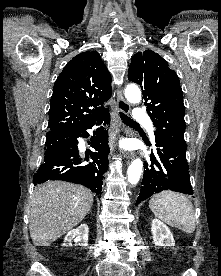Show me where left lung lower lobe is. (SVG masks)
Wrapping results in <instances>:
<instances>
[{
    "label": "left lung lower lobe",
    "mask_w": 221,
    "mask_h": 276,
    "mask_svg": "<svg viewBox=\"0 0 221 276\" xmlns=\"http://www.w3.org/2000/svg\"><path fill=\"white\" fill-rule=\"evenodd\" d=\"M155 142L156 154L150 155V162H144V175L137 203L168 189L192 195L186 160L187 147L158 136H155Z\"/></svg>",
    "instance_id": "left-lung-lower-lobe-1"
}]
</instances>
